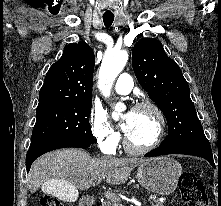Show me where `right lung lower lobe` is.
Returning <instances> with one entry per match:
<instances>
[{
    "mask_svg": "<svg viewBox=\"0 0 221 206\" xmlns=\"http://www.w3.org/2000/svg\"><path fill=\"white\" fill-rule=\"evenodd\" d=\"M91 145L89 142L83 141H66L60 143H54L49 145H44L36 148L29 149L26 156V169L29 172L31 168V164L34 162L36 158L41 156L42 154L60 148L66 147H77V148H87Z\"/></svg>",
    "mask_w": 221,
    "mask_h": 206,
    "instance_id": "1",
    "label": "right lung lower lobe"
}]
</instances>
